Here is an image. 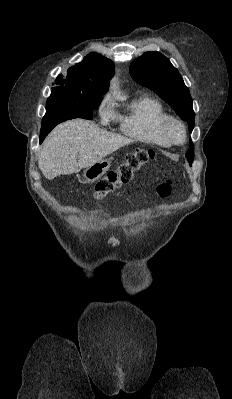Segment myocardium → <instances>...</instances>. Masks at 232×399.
Instances as JSON below:
<instances>
[{"label": "myocardium", "instance_id": "1", "mask_svg": "<svg viewBox=\"0 0 232 399\" xmlns=\"http://www.w3.org/2000/svg\"><path fill=\"white\" fill-rule=\"evenodd\" d=\"M177 126L181 129L183 137L178 139L172 132V126ZM161 129L166 137L174 144L184 143L187 139V128L185 124L177 117L166 115L161 121Z\"/></svg>", "mask_w": 232, "mask_h": 399}]
</instances>
